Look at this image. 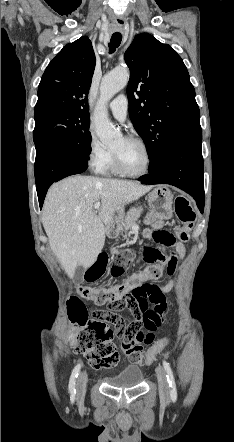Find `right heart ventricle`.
Segmentation results:
<instances>
[{
    "label": "right heart ventricle",
    "mask_w": 234,
    "mask_h": 442,
    "mask_svg": "<svg viewBox=\"0 0 234 442\" xmlns=\"http://www.w3.org/2000/svg\"><path fill=\"white\" fill-rule=\"evenodd\" d=\"M104 174H115L117 171L115 170L113 163V154L111 153L109 160L107 161L105 167L101 171Z\"/></svg>",
    "instance_id": "obj_1"
}]
</instances>
